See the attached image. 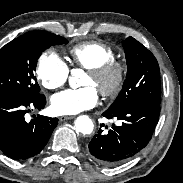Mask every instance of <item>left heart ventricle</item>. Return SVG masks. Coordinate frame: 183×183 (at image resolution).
<instances>
[{"label":"left heart ventricle","mask_w":183,"mask_h":183,"mask_svg":"<svg viewBox=\"0 0 183 183\" xmlns=\"http://www.w3.org/2000/svg\"><path fill=\"white\" fill-rule=\"evenodd\" d=\"M83 85L84 86H93L97 90H98V87H99L98 82L92 76H90L89 74H87V76L85 77Z\"/></svg>","instance_id":"left-heart-ventricle-1"}]
</instances>
